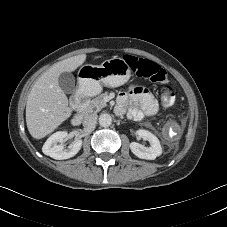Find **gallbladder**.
<instances>
[{
  "label": "gallbladder",
  "mask_w": 227,
  "mask_h": 227,
  "mask_svg": "<svg viewBox=\"0 0 227 227\" xmlns=\"http://www.w3.org/2000/svg\"><path fill=\"white\" fill-rule=\"evenodd\" d=\"M60 88L66 93L71 94L75 91V77L70 72H64L58 78Z\"/></svg>",
  "instance_id": "bac80fb5"
}]
</instances>
